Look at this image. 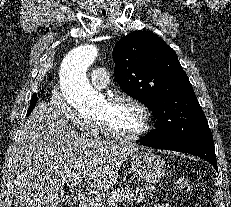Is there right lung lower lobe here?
<instances>
[{
	"label": "right lung lower lobe",
	"instance_id": "right-lung-lower-lobe-1",
	"mask_svg": "<svg viewBox=\"0 0 231 207\" xmlns=\"http://www.w3.org/2000/svg\"><path fill=\"white\" fill-rule=\"evenodd\" d=\"M36 102H37V95L34 94V96L32 97L31 99V103H30V107L28 109V112H27V116L31 113V111L34 109L35 105H36Z\"/></svg>",
	"mask_w": 231,
	"mask_h": 207
}]
</instances>
